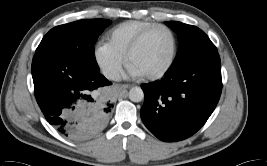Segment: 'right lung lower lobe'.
<instances>
[{
	"mask_svg": "<svg viewBox=\"0 0 267 166\" xmlns=\"http://www.w3.org/2000/svg\"><path fill=\"white\" fill-rule=\"evenodd\" d=\"M32 76L35 97L45 118L69 136L76 134V126L66 117L68 109H74L83 102L91 103L92 91L111 84L99 70L50 50L36 52ZM103 110L89 124L85 134L95 133L105 123L104 112H109L110 107Z\"/></svg>",
	"mask_w": 267,
	"mask_h": 166,
	"instance_id": "1",
	"label": "right lung lower lobe"
}]
</instances>
